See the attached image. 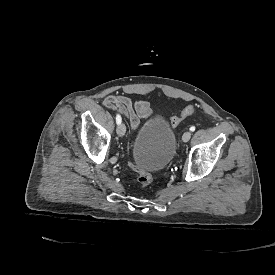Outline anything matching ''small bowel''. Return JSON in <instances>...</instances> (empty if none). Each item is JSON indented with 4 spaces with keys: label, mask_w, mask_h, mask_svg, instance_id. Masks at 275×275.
Returning <instances> with one entry per match:
<instances>
[{
    "label": "small bowel",
    "mask_w": 275,
    "mask_h": 275,
    "mask_svg": "<svg viewBox=\"0 0 275 275\" xmlns=\"http://www.w3.org/2000/svg\"><path fill=\"white\" fill-rule=\"evenodd\" d=\"M103 105L110 110L119 112L123 116H127L133 132L140 128L142 119L150 120L153 114L150 103L147 100L132 101L129 96L124 94L105 97Z\"/></svg>",
    "instance_id": "c3829d8e"
}]
</instances>
